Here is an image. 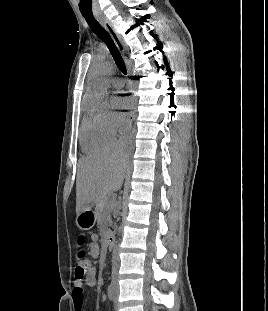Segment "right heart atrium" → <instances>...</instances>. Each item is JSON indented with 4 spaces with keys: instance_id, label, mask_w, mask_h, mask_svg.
<instances>
[{
    "instance_id": "right-heart-atrium-1",
    "label": "right heart atrium",
    "mask_w": 268,
    "mask_h": 311,
    "mask_svg": "<svg viewBox=\"0 0 268 311\" xmlns=\"http://www.w3.org/2000/svg\"><path fill=\"white\" fill-rule=\"evenodd\" d=\"M91 109L114 136L125 130L124 119L118 112L113 110L107 101L94 102Z\"/></svg>"
}]
</instances>
